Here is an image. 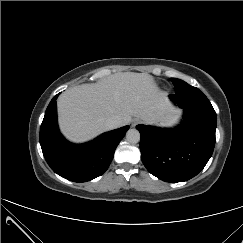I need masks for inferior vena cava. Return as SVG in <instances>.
Here are the masks:
<instances>
[{"label": "inferior vena cava", "mask_w": 243, "mask_h": 243, "mask_svg": "<svg viewBox=\"0 0 243 243\" xmlns=\"http://www.w3.org/2000/svg\"><path fill=\"white\" fill-rule=\"evenodd\" d=\"M106 126L109 129H114L120 126V119L117 117H111L106 120Z\"/></svg>", "instance_id": "obj_1"}]
</instances>
